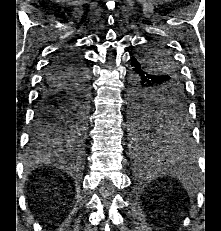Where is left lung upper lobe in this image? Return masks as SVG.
I'll return each instance as SVG.
<instances>
[{
	"label": "left lung upper lobe",
	"mask_w": 221,
	"mask_h": 231,
	"mask_svg": "<svg viewBox=\"0 0 221 231\" xmlns=\"http://www.w3.org/2000/svg\"><path fill=\"white\" fill-rule=\"evenodd\" d=\"M139 59L145 62L149 72L161 77L159 92L146 94L148 106L137 114H130L135 139L144 141L156 129L185 123L187 104L184 85L166 45L155 40L141 52Z\"/></svg>",
	"instance_id": "1"
}]
</instances>
